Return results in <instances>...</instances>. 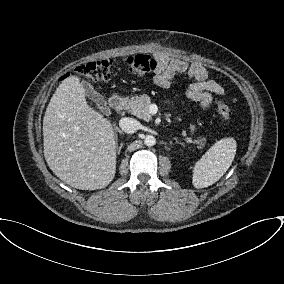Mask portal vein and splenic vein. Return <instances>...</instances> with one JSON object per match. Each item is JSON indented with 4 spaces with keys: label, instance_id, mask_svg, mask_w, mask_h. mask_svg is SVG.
Instances as JSON below:
<instances>
[{
    "label": "portal vein and splenic vein",
    "instance_id": "1",
    "mask_svg": "<svg viewBox=\"0 0 284 284\" xmlns=\"http://www.w3.org/2000/svg\"><path fill=\"white\" fill-rule=\"evenodd\" d=\"M153 107H154L153 105H152V106H150V110H152V109H153Z\"/></svg>",
    "mask_w": 284,
    "mask_h": 284
}]
</instances>
